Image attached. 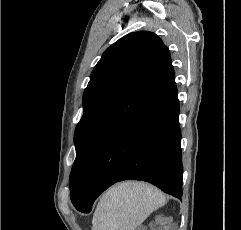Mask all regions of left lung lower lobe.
<instances>
[{"label": "left lung lower lobe", "instance_id": "0a47b994", "mask_svg": "<svg viewBox=\"0 0 241 230\" xmlns=\"http://www.w3.org/2000/svg\"><path fill=\"white\" fill-rule=\"evenodd\" d=\"M179 101L173 76L100 150L74 206L89 213L95 199L122 180H143L182 196Z\"/></svg>", "mask_w": 241, "mask_h": 230}]
</instances>
